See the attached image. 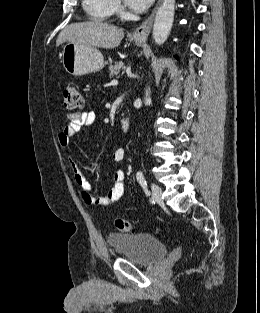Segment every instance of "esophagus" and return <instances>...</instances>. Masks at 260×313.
Returning a JSON list of instances; mask_svg holds the SVG:
<instances>
[{
	"label": "esophagus",
	"instance_id": "esophagus-1",
	"mask_svg": "<svg viewBox=\"0 0 260 313\" xmlns=\"http://www.w3.org/2000/svg\"><path fill=\"white\" fill-rule=\"evenodd\" d=\"M161 0H158L154 10L152 11L151 15L139 26L137 27L133 33L132 37L135 41L139 42H145L151 32L152 26H153V21H154V16L156 13V10L158 6L160 5Z\"/></svg>",
	"mask_w": 260,
	"mask_h": 313
}]
</instances>
